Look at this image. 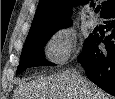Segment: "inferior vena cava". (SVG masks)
<instances>
[{
	"instance_id": "1",
	"label": "inferior vena cava",
	"mask_w": 115,
	"mask_h": 99,
	"mask_svg": "<svg viewBox=\"0 0 115 99\" xmlns=\"http://www.w3.org/2000/svg\"><path fill=\"white\" fill-rule=\"evenodd\" d=\"M79 78H80V81L82 82L83 78L79 75ZM86 98H89V97H86Z\"/></svg>"
}]
</instances>
